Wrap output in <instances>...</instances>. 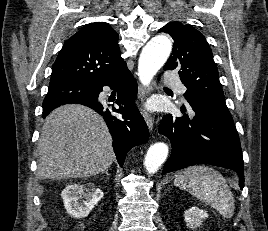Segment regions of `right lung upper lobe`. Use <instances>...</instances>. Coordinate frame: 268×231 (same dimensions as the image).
<instances>
[{"instance_id": "right-lung-upper-lobe-1", "label": "right lung upper lobe", "mask_w": 268, "mask_h": 231, "mask_svg": "<svg viewBox=\"0 0 268 231\" xmlns=\"http://www.w3.org/2000/svg\"><path fill=\"white\" fill-rule=\"evenodd\" d=\"M118 34L105 22L89 24L63 45L52 67L50 84L94 86L126 64L120 55ZM65 103H43V109Z\"/></svg>"}]
</instances>
